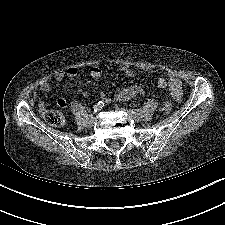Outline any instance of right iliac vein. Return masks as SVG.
<instances>
[{
	"mask_svg": "<svg viewBox=\"0 0 225 225\" xmlns=\"http://www.w3.org/2000/svg\"><path fill=\"white\" fill-rule=\"evenodd\" d=\"M94 122H95L94 117H91V118L88 119L86 125L88 127H92L94 125Z\"/></svg>",
	"mask_w": 225,
	"mask_h": 225,
	"instance_id": "obj_1",
	"label": "right iliac vein"
}]
</instances>
